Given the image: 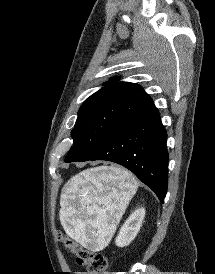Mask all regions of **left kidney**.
I'll return each instance as SVG.
<instances>
[{"instance_id": "left-kidney-1", "label": "left kidney", "mask_w": 215, "mask_h": 274, "mask_svg": "<svg viewBox=\"0 0 215 274\" xmlns=\"http://www.w3.org/2000/svg\"><path fill=\"white\" fill-rule=\"evenodd\" d=\"M144 217V208L136 209L131 213L124 225L121 227L118 236L116 237L115 243L118 247L128 246L135 239L142 226ZM66 230L68 232L67 227Z\"/></svg>"}]
</instances>
